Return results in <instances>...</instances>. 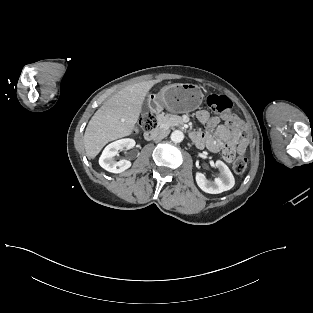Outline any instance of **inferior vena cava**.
<instances>
[{
	"label": "inferior vena cava",
	"mask_w": 313,
	"mask_h": 313,
	"mask_svg": "<svg viewBox=\"0 0 313 313\" xmlns=\"http://www.w3.org/2000/svg\"><path fill=\"white\" fill-rule=\"evenodd\" d=\"M169 134L168 130H161L158 132H155L153 135L154 140H161L165 138Z\"/></svg>",
	"instance_id": "602c4592"
}]
</instances>
